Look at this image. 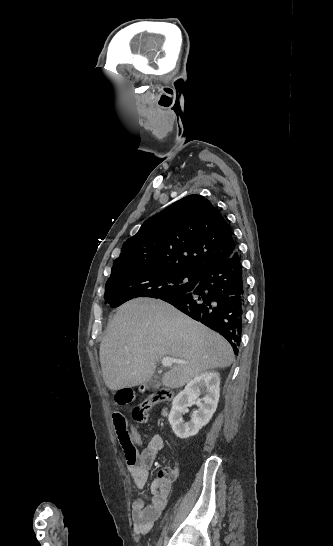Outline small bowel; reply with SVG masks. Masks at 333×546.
<instances>
[{
    "instance_id": "1",
    "label": "small bowel",
    "mask_w": 333,
    "mask_h": 546,
    "mask_svg": "<svg viewBox=\"0 0 333 546\" xmlns=\"http://www.w3.org/2000/svg\"><path fill=\"white\" fill-rule=\"evenodd\" d=\"M129 433L134 444L141 447L143 442L137 430L132 427ZM163 447L164 441L162 437L154 435L142 451L137 453L134 459L126 458L128 471L132 476L134 485L138 491H141L144 488L148 479L149 469ZM177 473V466L160 472L159 477L151 483L153 497L149 504H145L141 494L135 499L131 515L134 530L137 534L147 533L153 527L155 521L161 516L171 496L170 482Z\"/></svg>"
}]
</instances>
